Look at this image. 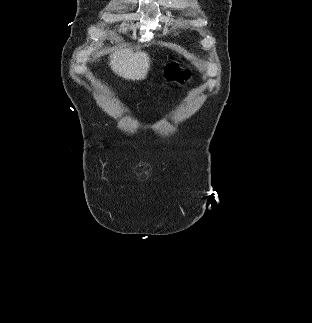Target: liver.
<instances>
[{
  "label": "liver",
  "mask_w": 312,
  "mask_h": 323,
  "mask_svg": "<svg viewBox=\"0 0 312 323\" xmlns=\"http://www.w3.org/2000/svg\"><path fill=\"white\" fill-rule=\"evenodd\" d=\"M109 66L114 74L125 80H145L150 68V58L146 52H133L132 48H125L111 54Z\"/></svg>",
  "instance_id": "6515ba94"
}]
</instances>
